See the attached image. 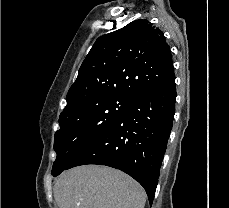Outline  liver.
<instances>
[{
  "label": "liver",
  "mask_w": 229,
  "mask_h": 208,
  "mask_svg": "<svg viewBox=\"0 0 229 208\" xmlns=\"http://www.w3.org/2000/svg\"><path fill=\"white\" fill-rule=\"evenodd\" d=\"M59 208H144L142 186L120 170L80 166L59 176L54 186Z\"/></svg>",
  "instance_id": "6515ba94"
}]
</instances>
